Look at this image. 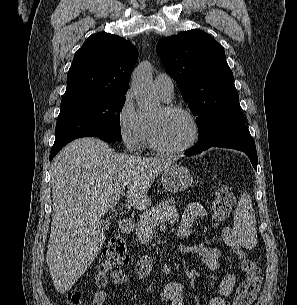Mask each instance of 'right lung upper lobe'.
<instances>
[{
  "instance_id": "cb5924a9",
  "label": "right lung upper lobe",
  "mask_w": 297,
  "mask_h": 305,
  "mask_svg": "<svg viewBox=\"0 0 297 305\" xmlns=\"http://www.w3.org/2000/svg\"><path fill=\"white\" fill-rule=\"evenodd\" d=\"M138 51L112 34L90 36L75 53L62 101L82 96L126 94Z\"/></svg>"
}]
</instances>
